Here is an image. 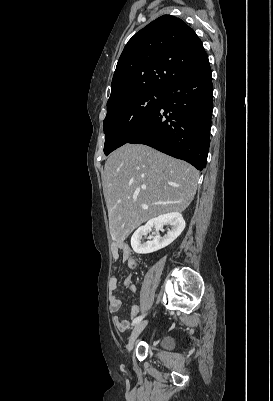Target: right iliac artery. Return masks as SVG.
Masks as SVG:
<instances>
[{
	"instance_id": "1",
	"label": "right iliac artery",
	"mask_w": 273,
	"mask_h": 401,
	"mask_svg": "<svg viewBox=\"0 0 273 401\" xmlns=\"http://www.w3.org/2000/svg\"><path fill=\"white\" fill-rule=\"evenodd\" d=\"M144 316H145V315L136 317V318L133 320L132 324L135 325V324L139 323V322L144 318Z\"/></svg>"
}]
</instances>
